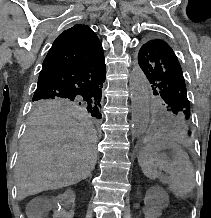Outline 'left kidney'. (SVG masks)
<instances>
[{
	"label": "left kidney",
	"instance_id": "5707ae66",
	"mask_svg": "<svg viewBox=\"0 0 211 218\" xmlns=\"http://www.w3.org/2000/svg\"><path fill=\"white\" fill-rule=\"evenodd\" d=\"M142 207L144 210H141V215H145V218H161L162 207H147V203H142Z\"/></svg>",
	"mask_w": 211,
	"mask_h": 218
}]
</instances>
